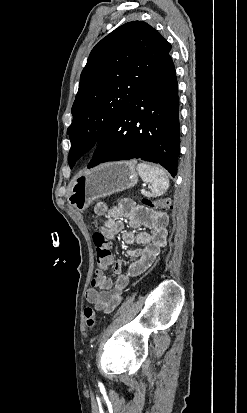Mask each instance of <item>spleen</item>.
<instances>
[{"instance_id": "3e777b00", "label": "spleen", "mask_w": 247, "mask_h": 413, "mask_svg": "<svg viewBox=\"0 0 247 413\" xmlns=\"http://www.w3.org/2000/svg\"><path fill=\"white\" fill-rule=\"evenodd\" d=\"M137 168L142 180H145V182L150 180V184L152 186L151 190L154 196H160V194H164V192H166L169 186V180L166 176L165 170H163L161 166H153V168H151L150 178H147V172L142 170V162L137 164Z\"/></svg>"}]
</instances>
